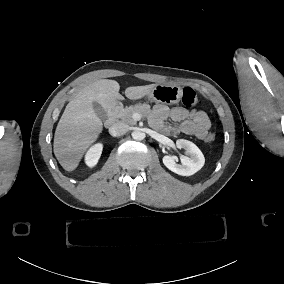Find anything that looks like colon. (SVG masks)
<instances>
[{
    "instance_id": "5ec220e1",
    "label": "colon",
    "mask_w": 284,
    "mask_h": 284,
    "mask_svg": "<svg viewBox=\"0 0 284 284\" xmlns=\"http://www.w3.org/2000/svg\"><path fill=\"white\" fill-rule=\"evenodd\" d=\"M192 92H193V90L189 89V88H184L181 91V96H182V100H183L184 105L194 106L195 104H201V100H198L195 97L194 92H193V95H192ZM214 141H215V135L213 133H210L206 136V142L207 143H212Z\"/></svg>"
}]
</instances>
